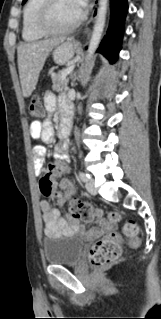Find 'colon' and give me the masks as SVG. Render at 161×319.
<instances>
[{"label": "colon", "mask_w": 161, "mask_h": 319, "mask_svg": "<svg viewBox=\"0 0 161 319\" xmlns=\"http://www.w3.org/2000/svg\"><path fill=\"white\" fill-rule=\"evenodd\" d=\"M42 103L39 97H34L30 104L28 113L31 117H40L42 115ZM68 186L67 184H65ZM41 193L45 196L60 198L62 194L54 189L53 181L50 176L46 175L40 181ZM69 215L73 219L81 221H93L99 218L108 217L112 221H117L119 215L116 212L105 213L95 209L87 201L72 199L69 202ZM124 234L131 246H138L141 239L136 224L128 221L124 224ZM124 244L123 237L118 233H110L104 238L98 240L89 252L90 262L98 267H107L115 263L122 253Z\"/></svg>", "instance_id": "obj_1"}]
</instances>
